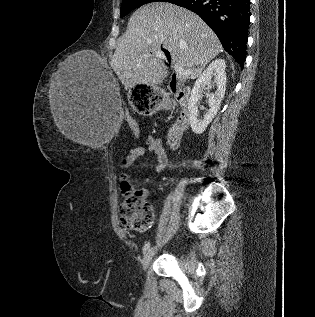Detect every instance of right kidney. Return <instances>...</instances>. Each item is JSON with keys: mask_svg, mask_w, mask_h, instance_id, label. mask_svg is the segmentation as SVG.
<instances>
[{"mask_svg": "<svg viewBox=\"0 0 315 317\" xmlns=\"http://www.w3.org/2000/svg\"><path fill=\"white\" fill-rule=\"evenodd\" d=\"M226 62L224 59H216L212 61L206 70L198 77L191 96L188 100L189 119L192 131L196 134H202L207 126L212 122L220 109L221 101L225 95L226 90ZM214 76V81L212 77ZM216 85V91L214 94L209 95L208 104L209 111L204 115L202 119L199 118V99L202 92L206 89H210L213 85Z\"/></svg>", "mask_w": 315, "mask_h": 317, "instance_id": "1", "label": "right kidney"}]
</instances>
